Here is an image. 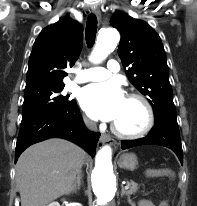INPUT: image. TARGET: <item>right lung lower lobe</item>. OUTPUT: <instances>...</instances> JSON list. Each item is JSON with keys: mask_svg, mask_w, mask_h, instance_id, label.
I'll return each mask as SVG.
<instances>
[{"mask_svg": "<svg viewBox=\"0 0 197 206\" xmlns=\"http://www.w3.org/2000/svg\"><path fill=\"white\" fill-rule=\"evenodd\" d=\"M53 137L70 140L94 157L100 133H93L85 128L76 102L62 110L39 114L22 120L16 143L15 162L30 145Z\"/></svg>", "mask_w": 197, "mask_h": 206, "instance_id": "right-lung-lower-lobe-1", "label": "right lung lower lobe"}]
</instances>
